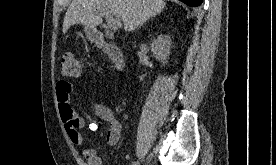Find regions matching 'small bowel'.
I'll list each match as a JSON object with an SVG mask.
<instances>
[{
	"mask_svg": "<svg viewBox=\"0 0 276 165\" xmlns=\"http://www.w3.org/2000/svg\"><path fill=\"white\" fill-rule=\"evenodd\" d=\"M75 94L82 96V93L77 92L72 83L67 80H60L56 85V100L64 129L70 141L77 147L81 148L82 155L86 160V165H102V159L97 155L95 149L88 147L84 144V138L80 130L85 126L84 119L79 116L72 108L70 103L71 96ZM91 107L98 119L108 124L106 132V142L108 145H115L120 138L121 123L115 117L111 108L98 102H91ZM98 128L97 122L89 124L90 130Z\"/></svg>",
	"mask_w": 276,
	"mask_h": 165,
	"instance_id": "obj_1",
	"label": "small bowel"
}]
</instances>
